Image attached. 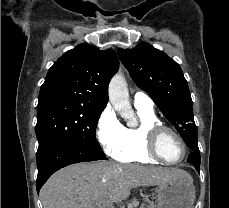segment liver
Returning a JSON list of instances; mask_svg holds the SVG:
<instances>
[{
    "instance_id": "6515ba94",
    "label": "liver",
    "mask_w": 229,
    "mask_h": 208,
    "mask_svg": "<svg viewBox=\"0 0 229 208\" xmlns=\"http://www.w3.org/2000/svg\"><path fill=\"white\" fill-rule=\"evenodd\" d=\"M166 180H191L177 168H156L116 162H81L53 174L40 190L43 208H113L132 188L159 186Z\"/></svg>"
}]
</instances>
